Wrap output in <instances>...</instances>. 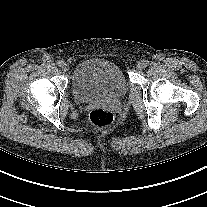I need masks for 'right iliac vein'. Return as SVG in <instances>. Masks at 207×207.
<instances>
[{"instance_id": "obj_1", "label": "right iliac vein", "mask_w": 207, "mask_h": 207, "mask_svg": "<svg viewBox=\"0 0 207 207\" xmlns=\"http://www.w3.org/2000/svg\"><path fill=\"white\" fill-rule=\"evenodd\" d=\"M61 68H62V71H63L64 73L68 71V65L65 64V63L61 66Z\"/></svg>"}]
</instances>
